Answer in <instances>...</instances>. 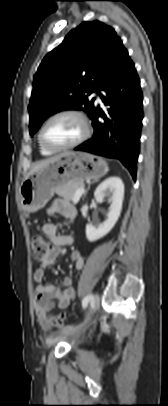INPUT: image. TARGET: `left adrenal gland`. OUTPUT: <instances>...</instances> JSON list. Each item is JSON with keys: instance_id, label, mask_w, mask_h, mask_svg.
Wrapping results in <instances>:
<instances>
[{"instance_id": "obj_1", "label": "left adrenal gland", "mask_w": 168, "mask_h": 406, "mask_svg": "<svg viewBox=\"0 0 168 406\" xmlns=\"http://www.w3.org/2000/svg\"><path fill=\"white\" fill-rule=\"evenodd\" d=\"M89 188H90V185L88 186L87 190L85 191L84 196H86V194H87V192H88Z\"/></svg>"}]
</instances>
